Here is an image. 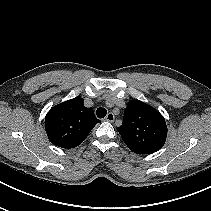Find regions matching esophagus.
Segmentation results:
<instances>
[{
    "label": "esophagus",
    "mask_w": 211,
    "mask_h": 211,
    "mask_svg": "<svg viewBox=\"0 0 211 211\" xmlns=\"http://www.w3.org/2000/svg\"><path fill=\"white\" fill-rule=\"evenodd\" d=\"M114 119H115V116H114V114L111 113V112L108 113L107 116L105 117V120H106V121H109V122H113Z\"/></svg>",
    "instance_id": "34e87169"
}]
</instances>
